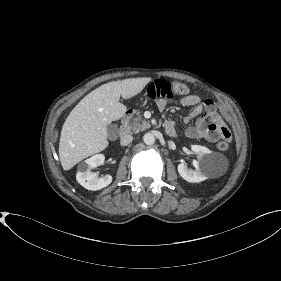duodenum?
Listing matches in <instances>:
<instances>
[{
	"mask_svg": "<svg viewBox=\"0 0 281 281\" xmlns=\"http://www.w3.org/2000/svg\"><path fill=\"white\" fill-rule=\"evenodd\" d=\"M134 112L133 111H128L122 118L120 127H119V135L124 136L129 132V122L130 119L132 118Z\"/></svg>",
	"mask_w": 281,
	"mask_h": 281,
	"instance_id": "duodenum-1",
	"label": "duodenum"
}]
</instances>
